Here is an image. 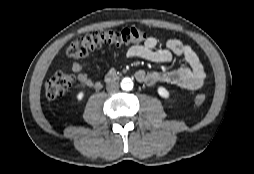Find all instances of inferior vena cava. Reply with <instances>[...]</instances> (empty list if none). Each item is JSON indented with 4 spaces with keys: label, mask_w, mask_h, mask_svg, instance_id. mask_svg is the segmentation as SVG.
<instances>
[{
    "label": "inferior vena cava",
    "mask_w": 254,
    "mask_h": 174,
    "mask_svg": "<svg viewBox=\"0 0 254 174\" xmlns=\"http://www.w3.org/2000/svg\"><path fill=\"white\" fill-rule=\"evenodd\" d=\"M106 89L108 92H116L119 90V83L118 82H110L107 84Z\"/></svg>",
    "instance_id": "obj_1"
}]
</instances>
